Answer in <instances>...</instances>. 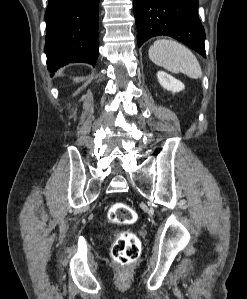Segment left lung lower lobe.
<instances>
[{
	"label": "left lung lower lobe",
	"instance_id": "obj_1",
	"mask_svg": "<svg viewBox=\"0 0 247 299\" xmlns=\"http://www.w3.org/2000/svg\"><path fill=\"white\" fill-rule=\"evenodd\" d=\"M198 6V0H133L138 46L151 37L166 35L206 57Z\"/></svg>",
	"mask_w": 247,
	"mask_h": 299
}]
</instances>
